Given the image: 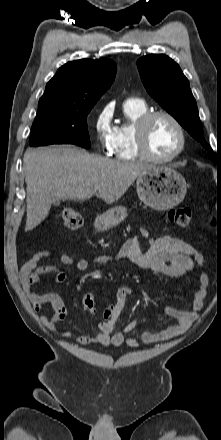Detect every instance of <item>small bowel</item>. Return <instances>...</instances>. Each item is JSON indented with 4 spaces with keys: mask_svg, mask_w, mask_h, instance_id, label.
Segmentation results:
<instances>
[{
    "mask_svg": "<svg viewBox=\"0 0 221 440\" xmlns=\"http://www.w3.org/2000/svg\"><path fill=\"white\" fill-rule=\"evenodd\" d=\"M147 235V230L141 229L138 236H131L127 239L117 254L96 256L93 261L98 264H108L113 261L128 259L139 268L149 269L155 273L179 279H185L198 266L202 265L203 256L200 252L185 241L169 235L151 238L149 248L144 252L141 237H147ZM51 256H56L62 265L75 266L81 272L88 269L89 261L83 257L74 259L68 254L40 251L35 253L21 268V285L34 311L40 314L43 305L50 304L53 313L50 316L42 315L41 320L48 329L56 331L58 330V323L64 321L68 314L64 300L55 292L39 294L32 291L34 284L44 283V275H53L52 284L62 283L66 279L65 272L55 265L38 266L42 259ZM197 275L198 289L194 293L191 310L184 311L173 307H165V313L177 321L176 325L159 332L143 331L140 334V340H137L128 334L149 321L148 317H142L128 324L123 332L114 333L115 324L126 307L128 297L133 293L132 288L122 285L116 292L113 318H103L98 324L99 330L95 335H77L72 330H64L63 334L80 345L101 344L115 347L126 345L130 348H137L140 342L157 343L178 337L186 332L193 321L199 317V311L204 304L209 278L203 270H197Z\"/></svg>",
    "mask_w": 221,
    "mask_h": 440,
    "instance_id": "small-bowel-1",
    "label": "small bowel"
}]
</instances>
